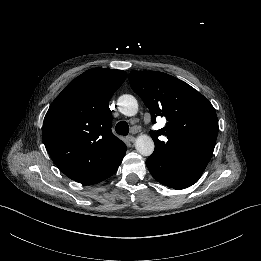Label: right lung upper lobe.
I'll use <instances>...</instances> for the list:
<instances>
[{"instance_id":"right-lung-upper-lobe-1","label":"right lung upper lobe","mask_w":261,"mask_h":261,"mask_svg":"<svg viewBox=\"0 0 261 261\" xmlns=\"http://www.w3.org/2000/svg\"><path fill=\"white\" fill-rule=\"evenodd\" d=\"M126 76L121 70L92 68L51 104L43 141L53 162L72 180L83 184L124 157L126 145L111 131L109 100Z\"/></svg>"}]
</instances>
